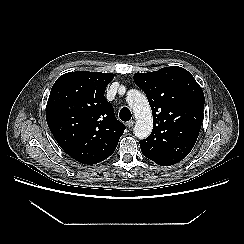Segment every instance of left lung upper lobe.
Wrapping results in <instances>:
<instances>
[{
	"instance_id": "5c2ea615",
	"label": "left lung upper lobe",
	"mask_w": 244,
	"mask_h": 244,
	"mask_svg": "<svg viewBox=\"0 0 244 244\" xmlns=\"http://www.w3.org/2000/svg\"><path fill=\"white\" fill-rule=\"evenodd\" d=\"M135 83L146 93L153 114L151 135L140 141L143 155L171 166L192 150L203 120L204 93L182 67L136 73Z\"/></svg>"
}]
</instances>
